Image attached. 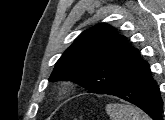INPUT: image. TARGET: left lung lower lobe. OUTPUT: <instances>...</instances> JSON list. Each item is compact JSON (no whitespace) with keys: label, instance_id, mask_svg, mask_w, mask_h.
Segmentation results:
<instances>
[{"label":"left lung lower lobe","instance_id":"0a47b994","mask_svg":"<svg viewBox=\"0 0 165 120\" xmlns=\"http://www.w3.org/2000/svg\"><path fill=\"white\" fill-rule=\"evenodd\" d=\"M108 95L126 100L145 111L153 120H163V101L149 64L137 51L121 84Z\"/></svg>","mask_w":165,"mask_h":120}]
</instances>
